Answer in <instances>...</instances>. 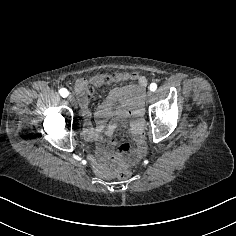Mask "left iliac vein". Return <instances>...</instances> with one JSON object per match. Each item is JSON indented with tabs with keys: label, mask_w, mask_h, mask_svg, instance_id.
I'll list each match as a JSON object with an SVG mask.
<instances>
[{
	"label": "left iliac vein",
	"mask_w": 236,
	"mask_h": 236,
	"mask_svg": "<svg viewBox=\"0 0 236 236\" xmlns=\"http://www.w3.org/2000/svg\"><path fill=\"white\" fill-rule=\"evenodd\" d=\"M158 100V94L155 91H152L149 94V101L155 103Z\"/></svg>",
	"instance_id": "4c4485c4"
}]
</instances>
